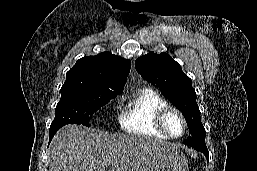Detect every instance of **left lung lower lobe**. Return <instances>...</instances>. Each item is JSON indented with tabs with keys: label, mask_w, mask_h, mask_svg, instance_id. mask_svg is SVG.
I'll use <instances>...</instances> for the list:
<instances>
[{
	"label": "left lung lower lobe",
	"mask_w": 257,
	"mask_h": 171,
	"mask_svg": "<svg viewBox=\"0 0 257 171\" xmlns=\"http://www.w3.org/2000/svg\"><path fill=\"white\" fill-rule=\"evenodd\" d=\"M194 149H196L197 151H200V152H202L205 156H206V158H207V160H208V149H207V147L206 146H200V147H195Z\"/></svg>",
	"instance_id": "obj_1"
}]
</instances>
